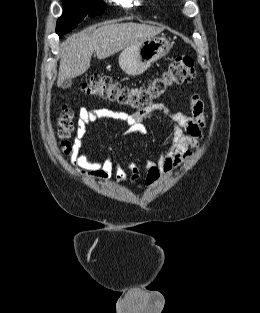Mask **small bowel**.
I'll return each mask as SVG.
<instances>
[{"label": "small bowel", "mask_w": 260, "mask_h": 313, "mask_svg": "<svg viewBox=\"0 0 260 313\" xmlns=\"http://www.w3.org/2000/svg\"><path fill=\"white\" fill-rule=\"evenodd\" d=\"M154 112H162L168 117L173 129V136L169 145L159 153L156 159L149 157L144 159L146 186H153L159 179L177 169L192 156L203 135L204 104L197 94L191 96L187 113L172 111L163 104H157L150 109L132 114L105 108L93 110L80 108L71 160L76 172L95 181L106 180L114 175L117 183L125 182L127 176L124 167L111 157L92 161L85 156L83 139L88 126L102 119L121 121L127 125V133L147 137L150 133L144 121L150 119ZM128 166L131 173L129 180L131 183H135L140 179V166L133 160L128 163Z\"/></svg>", "instance_id": "small-bowel-1"}]
</instances>
